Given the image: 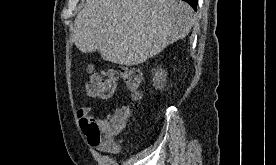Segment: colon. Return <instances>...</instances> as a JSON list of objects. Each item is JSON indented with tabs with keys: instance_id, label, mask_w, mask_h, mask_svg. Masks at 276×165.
Here are the masks:
<instances>
[{
	"instance_id": "colon-1",
	"label": "colon",
	"mask_w": 276,
	"mask_h": 165,
	"mask_svg": "<svg viewBox=\"0 0 276 165\" xmlns=\"http://www.w3.org/2000/svg\"><path fill=\"white\" fill-rule=\"evenodd\" d=\"M119 75L133 97L138 99L140 97L141 73L127 67L121 68L119 72L114 70L96 72L90 69L89 79L86 83L88 95L104 101L110 100L116 93ZM129 116L130 109L122 108L117 110L105 123L92 115L84 116L80 119V123L91 145L106 144L111 149H115L113 137L125 128Z\"/></svg>"
}]
</instances>
